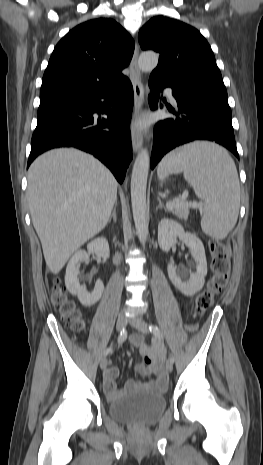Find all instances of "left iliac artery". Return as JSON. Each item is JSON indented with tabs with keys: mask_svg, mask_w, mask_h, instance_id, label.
I'll return each mask as SVG.
<instances>
[{
	"mask_svg": "<svg viewBox=\"0 0 263 465\" xmlns=\"http://www.w3.org/2000/svg\"><path fill=\"white\" fill-rule=\"evenodd\" d=\"M149 330H150V332L153 333V335H154L157 339H159V340L163 339V334H162V332L160 331V329H159L156 325L150 324V325H149ZM169 360H170L172 363L174 362V357H173V355H171V354L169 355Z\"/></svg>",
	"mask_w": 263,
	"mask_h": 465,
	"instance_id": "obj_1",
	"label": "left iliac artery"
}]
</instances>
